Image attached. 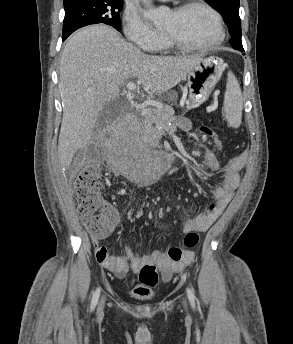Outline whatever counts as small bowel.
<instances>
[{
    "label": "small bowel",
    "instance_id": "c3829d8e",
    "mask_svg": "<svg viewBox=\"0 0 293 344\" xmlns=\"http://www.w3.org/2000/svg\"><path fill=\"white\" fill-rule=\"evenodd\" d=\"M179 126L186 131L191 128V124L186 118L180 119ZM195 154L202 155L207 168L212 172L221 171L223 177L222 188L212 192L216 199L214 209L188 219L183 226L185 232H206L226 209L238 189L241 179L240 171L245 165V155L241 153L232 158L224 167H221L212 151H196ZM101 239H92L96 260L117 278L125 277L130 271L139 272L145 265H158L164 277L168 279L174 273L186 269L195 257L194 252L189 250L184 252L183 257L179 261H172L166 258L159 250H154L148 255H142L137 249L130 247H125L122 255L114 256L108 254L106 247L100 243ZM148 292L149 290L145 286L136 287L132 291L135 297H144Z\"/></svg>",
    "mask_w": 293,
    "mask_h": 344
}]
</instances>
